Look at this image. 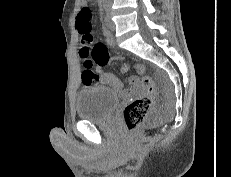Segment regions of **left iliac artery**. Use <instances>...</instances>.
Returning <instances> with one entry per match:
<instances>
[{
  "label": "left iliac artery",
  "instance_id": "44dca946",
  "mask_svg": "<svg viewBox=\"0 0 231 177\" xmlns=\"http://www.w3.org/2000/svg\"><path fill=\"white\" fill-rule=\"evenodd\" d=\"M109 8H110V4H109L108 2L103 1V9H104L105 11H108Z\"/></svg>",
  "mask_w": 231,
  "mask_h": 177
}]
</instances>
